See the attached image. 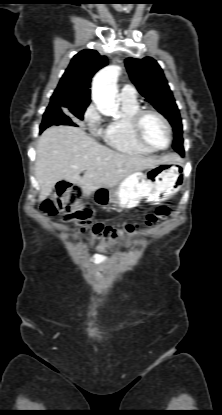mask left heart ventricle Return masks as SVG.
Wrapping results in <instances>:
<instances>
[{"label":"left heart ventricle","instance_id":"left-heart-ventricle-1","mask_svg":"<svg viewBox=\"0 0 222 415\" xmlns=\"http://www.w3.org/2000/svg\"><path fill=\"white\" fill-rule=\"evenodd\" d=\"M142 131L147 141L157 147H164L168 142V133L164 123L155 115H146Z\"/></svg>","mask_w":222,"mask_h":415}]
</instances>
